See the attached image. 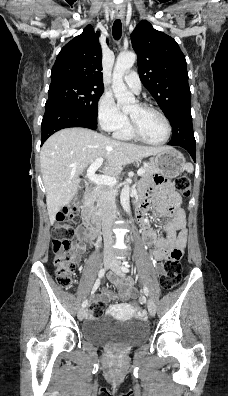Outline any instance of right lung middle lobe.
Instances as JSON below:
<instances>
[{"label": "right lung middle lobe", "mask_w": 228, "mask_h": 396, "mask_svg": "<svg viewBox=\"0 0 228 396\" xmlns=\"http://www.w3.org/2000/svg\"><path fill=\"white\" fill-rule=\"evenodd\" d=\"M103 92V86L61 83L49 87L46 104L61 103L97 119L98 100Z\"/></svg>", "instance_id": "dd1d6c3e"}]
</instances>
